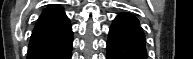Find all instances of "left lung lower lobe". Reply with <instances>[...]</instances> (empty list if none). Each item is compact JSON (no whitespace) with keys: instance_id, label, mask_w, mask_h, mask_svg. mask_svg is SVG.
<instances>
[{"instance_id":"obj_1","label":"left lung lower lobe","mask_w":193,"mask_h":59,"mask_svg":"<svg viewBox=\"0 0 193 59\" xmlns=\"http://www.w3.org/2000/svg\"><path fill=\"white\" fill-rule=\"evenodd\" d=\"M145 35L136 17L118 15L109 31L107 59H146Z\"/></svg>"}]
</instances>
